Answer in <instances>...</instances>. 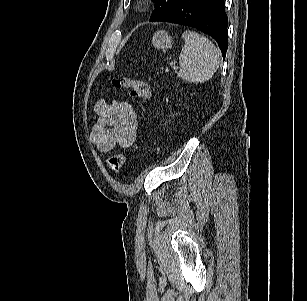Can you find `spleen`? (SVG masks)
Here are the masks:
<instances>
[{"mask_svg":"<svg viewBox=\"0 0 307 301\" xmlns=\"http://www.w3.org/2000/svg\"><path fill=\"white\" fill-rule=\"evenodd\" d=\"M182 38L185 44L179 55L177 76L189 83L208 81L219 67L218 49L208 38L195 31H185Z\"/></svg>","mask_w":307,"mask_h":301,"instance_id":"obj_1","label":"spleen"}]
</instances>
